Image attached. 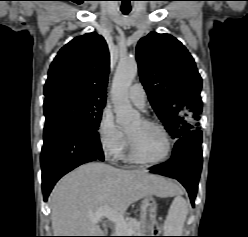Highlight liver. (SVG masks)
Listing matches in <instances>:
<instances>
[{"mask_svg": "<svg viewBox=\"0 0 248 237\" xmlns=\"http://www.w3.org/2000/svg\"><path fill=\"white\" fill-rule=\"evenodd\" d=\"M179 189L142 170H124L103 163L84 164L64 176L52 190L49 203L54 236H102L90 217L103 207L123 214L146 197Z\"/></svg>", "mask_w": 248, "mask_h": 237, "instance_id": "liver-1", "label": "liver"}]
</instances>
